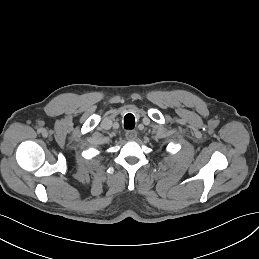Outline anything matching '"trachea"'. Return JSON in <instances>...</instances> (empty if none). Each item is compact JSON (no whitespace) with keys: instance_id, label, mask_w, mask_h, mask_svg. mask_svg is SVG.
<instances>
[{"instance_id":"obj_1","label":"trachea","mask_w":259,"mask_h":259,"mask_svg":"<svg viewBox=\"0 0 259 259\" xmlns=\"http://www.w3.org/2000/svg\"><path fill=\"white\" fill-rule=\"evenodd\" d=\"M135 127V117L133 114H126L124 117V128L131 130Z\"/></svg>"}]
</instances>
